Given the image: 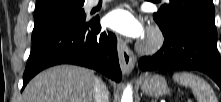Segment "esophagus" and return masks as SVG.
<instances>
[{"label":"esophagus","mask_w":221,"mask_h":102,"mask_svg":"<svg viewBox=\"0 0 221 102\" xmlns=\"http://www.w3.org/2000/svg\"><path fill=\"white\" fill-rule=\"evenodd\" d=\"M117 47L121 70L124 74H129L135 66L136 56L121 38H118Z\"/></svg>","instance_id":"34e87169"}]
</instances>
